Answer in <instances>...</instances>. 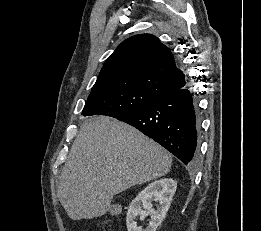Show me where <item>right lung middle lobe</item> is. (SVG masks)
I'll return each instance as SVG.
<instances>
[{
  "instance_id": "obj_1",
  "label": "right lung middle lobe",
  "mask_w": 261,
  "mask_h": 231,
  "mask_svg": "<svg viewBox=\"0 0 261 231\" xmlns=\"http://www.w3.org/2000/svg\"><path fill=\"white\" fill-rule=\"evenodd\" d=\"M154 94L135 86L91 92L82 115H107L114 118L131 114L157 100Z\"/></svg>"
}]
</instances>
